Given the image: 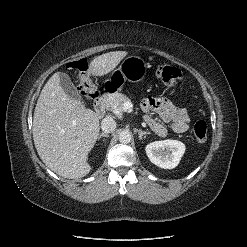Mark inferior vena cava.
Segmentation results:
<instances>
[{"mask_svg":"<svg viewBox=\"0 0 247 247\" xmlns=\"http://www.w3.org/2000/svg\"><path fill=\"white\" fill-rule=\"evenodd\" d=\"M116 128V122L111 117H106L101 121V129L104 133H111Z\"/></svg>","mask_w":247,"mask_h":247,"instance_id":"602c4592","label":"inferior vena cava"}]
</instances>
